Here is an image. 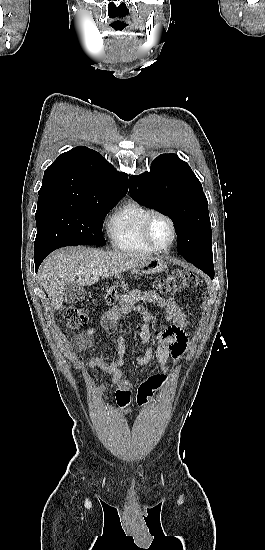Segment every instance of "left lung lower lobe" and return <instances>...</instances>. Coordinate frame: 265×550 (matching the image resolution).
<instances>
[{"mask_svg":"<svg viewBox=\"0 0 265 550\" xmlns=\"http://www.w3.org/2000/svg\"><path fill=\"white\" fill-rule=\"evenodd\" d=\"M186 260L208 274L211 279L214 278L212 253H200L198 255L187 257Z\"/></svg>","mask_w":265,"mask_h":550,"instance_id":"obj_1","label":"left lung lower lobe"}]
</instances>
